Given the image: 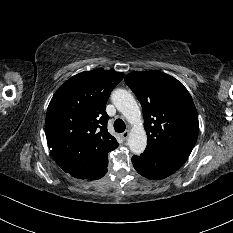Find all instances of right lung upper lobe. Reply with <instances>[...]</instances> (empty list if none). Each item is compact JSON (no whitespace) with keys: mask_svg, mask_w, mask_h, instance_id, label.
Segmentation results:
<instances>
[{"mask_svg":"<svg viewBox=\"0 0 233 233\" xmlns=\"http://www.w3.org/2000/svg\"><path fill=\"white\" fill-rule=\"evenodd\" d=\"M124 74L95 69L79 73L53 95L46 115L51 154L74 177H97L108 165V153L118 147L107 130L106 102Z\"/></svg>","mask_w":233,"mask_h":233,"instance_id":"right-lung-upper-lobe-1","label":"right lung upper lobe"}]
</instances>
